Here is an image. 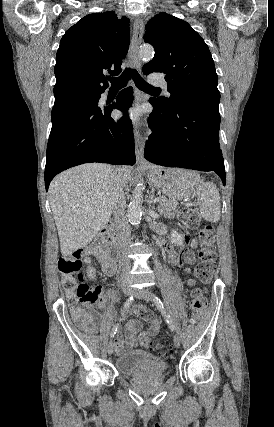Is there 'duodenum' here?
<instances>
[{
    "instance_id": "1",
    "label": "duodenum",
    "mask_w": 274,
    "mask_h": 427,
    "mask_svg": "<svg viewBox=\"0 0 274 427\" xmlns=\"http://www.w3.org/2000/svg\"><path fill=\"white\" fill-rule=\"evenodd\" d=\"M104 236L109 239L110 242V256L112 259H115L116 257V249H117V240H116V233L114 230V222L110 220L104 227ZM158 231L160 233H163V229L159 228Z\"/></svg>"
}]
</instances>
